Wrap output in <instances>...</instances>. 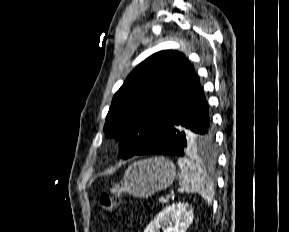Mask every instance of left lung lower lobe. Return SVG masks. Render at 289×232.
<instances>
[{"label":"left lung lower lobe","mask_w":289,"mask_h":232,"mask_svg":"<svg viewBox=\"0 0 289 232\" xmlns=\"http://www.w3.org/2000/svg\"><path fill=\"white\" fill-rule=\"evenodd\" d=\"M213 144L214 130L204 92L198 81L180 102L167 125L134 155L184 156L190 152L209 151Z\"/></svg>","instance_id":"0a47b994"}]
</instances>
